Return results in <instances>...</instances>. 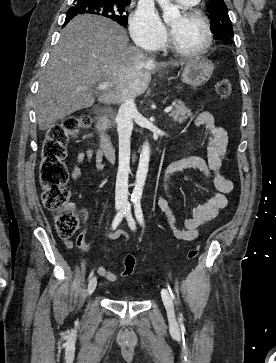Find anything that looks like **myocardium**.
Segmentation results:
<instances>
[{"label":"myocardium","mask_w":276,"mask_h":363,"mask_svg":"<svg viewBox=\"0 0 276 363\" xmlns=\"http://www.w3.org/2000/svg\"><path fill=\"white\" fill-rule=\"evenodd\" d=\"M184 16H186L187 18H190V19L198 20L203 23L205 30H206V34H207L206 42H205L204 46L198 50H186L177 44V42L175 41V39L172 35L170 38L171 49L183 57H191V58L201 57L210 50V48L213 44L214 37H213V31L211 28L210 21L204 14H202L200 11L195 10V9H190V10L185 11Z\"/></svg>","instance_id":"myocardium-1"}]
</instances>
